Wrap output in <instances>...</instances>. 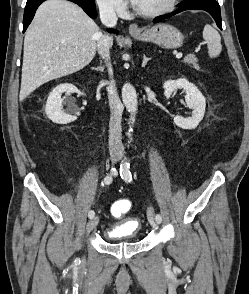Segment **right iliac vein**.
<instances>
[{"label":"right iliac vein","instance_id":"right-iliac-vein-1","mask_svg":"<svg viewBox=\"0 0 249 294\" xmlns=\"http://www.w3.org/2000/svg\"><path fill=\"white\" fill-rule=\"evenodd\" d=\"M110 158L112 160V162H115L118 158V151L117 149H111L110 151ZM99 222V217L95 216L93 218H91V220L88 222L87 224V232L90 233L93 229L96 228V226L98 225Z\"/></svg>","mask_w":249,"mask_h":294}]
</instances>
